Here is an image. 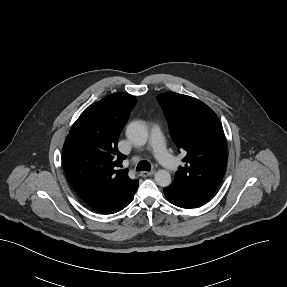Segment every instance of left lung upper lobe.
<instances>
[{
	"label": "left lung upper lobe",
	"instance_id": "5c2ea615",
	"mask_svg": "<svg viewBox=\"0 0 287 287\" xmlns=\"http://www.w3.org/2000/svg\"><path fill=\"white\" fill-rule=\"evenodd\" d=\"M173 141L185 150V167L172 184L184 185L212 196L226 168L225 135L217 115L200 100L174 92L157 96Z\"/></svg>",
	"mask_w": 287,
	"mask_h": 287
}]
</instances>
